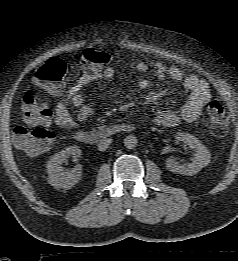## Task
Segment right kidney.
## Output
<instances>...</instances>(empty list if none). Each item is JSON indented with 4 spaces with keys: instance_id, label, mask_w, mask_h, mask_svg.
Returning <instances> with one entry per match:
<instances>
[{
    "instance_id": "ca27d5eb",
    "label": "right kidney",
    "mask_w": 238,
    "mask_h": 261,
    "mask_svg": "<svg viewBox=\"0 0 238 261\" xmlns=\"http://www.w3.org/2000/svg\"><path fill=\"white\" fill-rule=\"evenodd\" d=\"M73 156L75 161L81 155V150L78 146L73 145L56 153L46 164L48 173V183L55 188L69 189L79 182L82 176V166L77 164L72 170L63 172L61 166L69 156Z\"/></svg>"
}]
</instances>
